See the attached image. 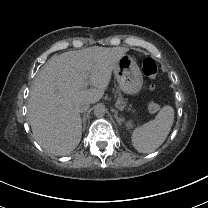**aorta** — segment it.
<instances>
[{
    "label": "aorta",
    "instance_id": "aorta-1",
    "mask_svg": "<svg viewBox=\"0 0 208 208\" xmlns=\"http://www.w3.org/2000/svg\"><path fill=\"white\" fill-rule=\"evenodd\" d=\"M105 106L104 105H102V104H98V105H96L95 107H94V115L96 116V117H103L104 116V114H105Z\"/></svg>",
    "mask_w": 208,
    "mask_h": 208
}]
</instances>
